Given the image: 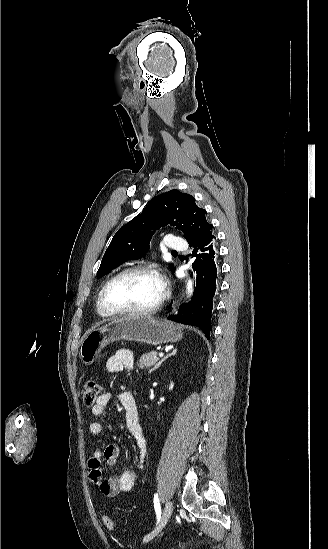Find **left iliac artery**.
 <instances>
[{
    "mask_svg": "<svg viewBox=\"0 0 328 549\" xmlns=\"http://www.w3.org/2000/svg\"><path fill=\"white\" fill-rule=\"evenodd\" d=\"M154 508H155V512H156L157 519H158V522H159L160 518H161V507H160L158 494L154 495Z\"/></svg>",
    "mask_w": 328,
    "mask_h": 549,
    "instance_id": "obj_1",
    "label": "left iliac artery"
}]
</instances>
